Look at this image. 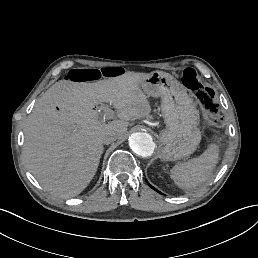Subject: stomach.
I'll return each mask as SVG.
<instances>
[{
    "label": "stomach",
    "mask_w": 258,
    "mask_h": 258,
    "mask_svg": "<svg viewBox=\"0 0 258 258\" xmlns=\"http://www.w3.org/2000/svg\"><path fill=\"white\" fill-rule=\"evenodd\" d=\"M143 91L161 97V110L166 128L160 132L159 157L175 161L194 153L201 141L199 111L185 87L169 73L154 71L142 81Z\"/></svg>",
    "instance_id": "obj_1"
}]
</instances>
